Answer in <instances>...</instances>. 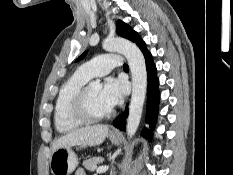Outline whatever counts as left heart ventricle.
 <instances>
[{
	"instance_id": "obj_1",
	"label": "left heart ventricle",
	"mask_w": 233,
	"mask_h": 175,
	"mask_svg": "<svg viewBox=\"0 0 233 175\" xmlns=\"http://www.w3.org/2000/svg\"><path fill=\"white\" fill-rule=\"evenodd\" d=\"M88 101L90 109L94 114L100 115L111 110L101 97L100 87L88 88Z\"/></svg>"
}]
</instances>
